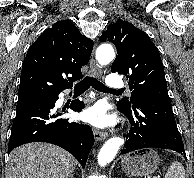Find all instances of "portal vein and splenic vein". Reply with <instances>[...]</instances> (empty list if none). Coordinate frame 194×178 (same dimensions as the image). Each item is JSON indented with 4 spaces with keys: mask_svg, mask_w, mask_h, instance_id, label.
<instances>
[{
    "mask_svg": "<svg viewBox=\"0 0 194 178\" xmlns=\"http://www.w3.org/2000/svg\"><path fill=\"white\" fill-rule=\"evenodd\" d=\"M153 178H160V176L158 175V176H155V177H153Z\"/></svg>",
    "mask_w": 194,
    "mask_h": 178,
    "instance_id": "1",
    "label": "portal vein and splenic vein"
}]
</instances>
